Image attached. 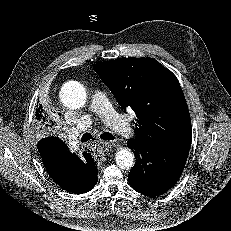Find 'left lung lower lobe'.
Instances as JSON below:
<instances>
[{
    "instance_id": "0a47b994",
    "label": "left lung lower lobe",
    "mask_w": 231,
    "mask_h": 231,
    "mask_svg": "<svg viewBox=\"0 0 231 231\" xmlns=\"http://www.w3.org/2000/svg\"><path fill=\"white\" fill-rule=\"evenodd\" d=\"M127 144L136 158V164L128 175L134 190L147 196H158L174 186L183 172L187 153L132 141Z\"/></svg>"
}]
</instances>
